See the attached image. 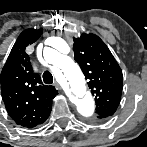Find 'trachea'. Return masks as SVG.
I'll return each instance as SVG.
<instances>
[{
	"label": "trachea",
	"instance_id": "trachea-1",
	"mask_svg": "<svg viewBox=\"0 0 147 147\" xmlns=\"http://www.w3.org/2000/svg\"><path fill=\"white\" fill-rule=\"evenodd\" d=\"M43 81L46 84H52L53 83V76H52L51 72L45 71L43 73Z\"/></svg>",
	"mask_w": 147,
	"mask_h": 147
}]
</instances>
